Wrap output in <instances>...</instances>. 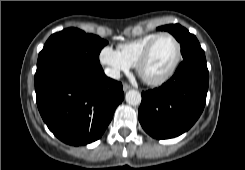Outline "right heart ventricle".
<instances>
[{"label": "right heart ventricle", "mask_w": 245, "mask_h": 170, "mask_svg": "<svg viewBox=\"0 0 245 170\" xmlns=\"http://www.w3.org/2000/svg\"><path fill=\"white\" fill-rule=\"evenodd\" d=\"M158 34L159 33L146 34L137 39L120 44L118 46V51L123 56V58L130 64V66H134L144 48Z\"/></svg>", "instance_id": "right-heart-ventricle-1"}]
</instances>
